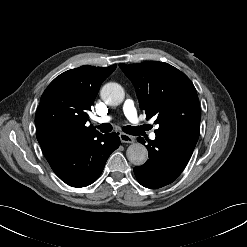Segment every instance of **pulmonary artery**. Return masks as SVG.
Listing matches in <instances>:
<instances>
[{"label": "pulmonary artery", "mask_w": 247, "mask_h": 247, "mask_svg": "<svg viewBox=\"0 0 247 247\" xmlns=\"http://www.w3.org/2000/svg\"><path fill=\"white\" fill-rule=\"evenodd\" d=\"M123 111H124L125 116L130 122L138 123L139 118H138L137 110L132 100L129 99L125 101L123 105ZM110 120H111V117L109 116H104V117H100L96 119L98 123H107ZM149 136L151 140H154L156 138L155 132H151Z\"/></svg>", "instance_id": "e3ab8cb5"}]
</instances>
